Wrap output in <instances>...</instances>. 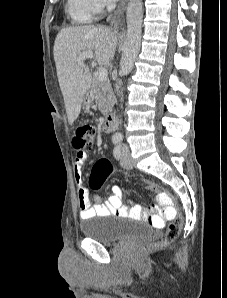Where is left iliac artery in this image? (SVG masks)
Returning a JSON list of instances; mask_svg holds the SVG:
<instances>
[{
  "label": "left iliac artery",
  "instance_id": "44dca946",
  "mask_svg": "<svg viewBox=\"0 0 227 298\" xmlns=\"http://www.w3.org/2000/svg\"><path fill=\"white\" fill-rule=\"evenodd\" d=\"M113 154H114V156H115L116 159H119V158H120V156H121V153H120V145H117V146L114 148Z\"/></svg>",
  "mask_w": 227,
  "mask_h": 298
}]
</instances>
